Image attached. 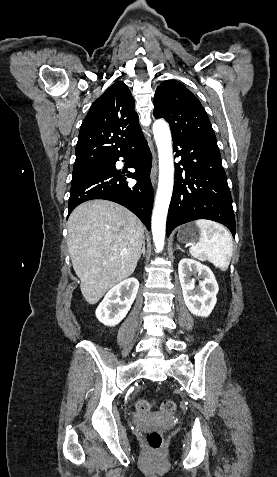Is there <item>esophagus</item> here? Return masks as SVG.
<instances>
[{"mask_svg":"<svg viewBox=\"0 0 277 477\" xmlns=\"http://www.w3.org/2000/svg\"><path fill=\"white\" fill-rule=\"evenodd\" d=\"M156 176H157V162L154 159L152 169H151V174H150L151 182H152L153 185L155 184Z\"/></svg>","mask_w":277,"mask_h":477,"instance_id":"esophagus-1","label":"esophagus"}]
</instances>
